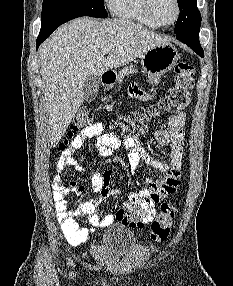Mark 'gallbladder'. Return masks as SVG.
Masks as SVG:
<instances>
[{
    "label": "gallbladder",
    "mask_w": 233,
    "mask_h": 286,
    "mask_svg": "<svg viewBox=\"0 0 233 286\" xmlns=\"http://www.w3.org/2000/svg\"><path fill=\"white\" fill-rule=\"evenodd\" d=\"M100 86V77L97 75L90 74L86 77L83 84V91L86 102H92L95 100Z\"/></svg>",
    "instance_id": "1"
}]
</instances>
